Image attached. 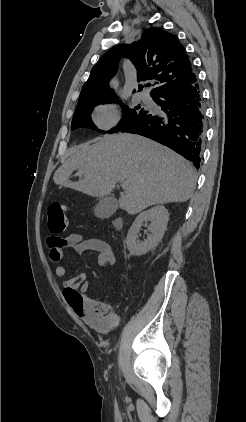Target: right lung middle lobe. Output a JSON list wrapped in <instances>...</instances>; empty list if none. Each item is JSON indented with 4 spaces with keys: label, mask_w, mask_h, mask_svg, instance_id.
I'll use <instances>...</instances> for the list:
<instances>
[{
    "label": "right lung middle lobe",
    "mask_w": 246,
    "mask_h": 422,
    "mask_svg": "<svg viewBox=\"0 0 246 422\" xmlns=\"http://www.w3.org/2000/svg\"><path fill=\"white\" fill-rule=\"evenodd\" d=\"M118 101H119L118 98L115 97V98H110V99L93 101L85 105L76 107V111L74 113L72 123H71V129L74 130L76 128L86 127V128L99 131L91 120V112L93 111L94 107L102 103H112V102H118ZM122 107H123V117L121 121L116 127L107 131L108 133H115V132L121 131L122 129H126L136 124L137 122L144 120L151 114L149 110L141 108L140 106H137L134 109H129L128 106L123 104Z\"/></svg>",
    "instance_id": "right-lung-middle-lobe-1"
}]
</instances>
